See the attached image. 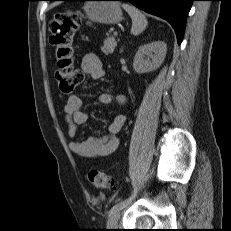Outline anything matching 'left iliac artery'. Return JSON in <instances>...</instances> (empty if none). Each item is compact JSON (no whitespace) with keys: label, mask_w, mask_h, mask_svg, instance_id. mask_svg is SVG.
Returning a JSON list of instances; mask_svg holds the SVG:
<instances>
[{"label":"left iliac artery","mask_w":231,"mask_h":231,"mask_svg":"<svg viewBox=\"0 0 231 231\" xmlns=\"http://www.w3.org/2000/svg\"><path fill=\"white\" fill-rule=\"evenodd\" d=\"M135 195H136V191H134V194L131 197H129L128 199H125V200L117 203L116 205H114L111 208L109 214L111 215L116 210H119V209H122L123 207H125V205H127L129 202H131V200L135 197Z\"/></svg>","instance_id":"44dca946"}]
</instances>
